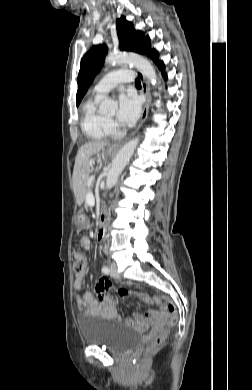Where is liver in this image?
<instances>
[{
	"label": "liver",
	"mask_w": 252,
	"mask_h": 390,
	"mask_svg": "<svg viewBox=\"0 0 252 390\" xmlns=\"http://www.w3.org/2000/svg\"><path fill=\"white\" fill-rule=\"evenodd\" d=\"M106 146V142L94 141L84 144L78 150L73 169V190L79 203L83 201L87 193L86 185L90 174V158L103 151Z\"/></svg>",
	"instance_id": "obj_1"
}]
</instances>
